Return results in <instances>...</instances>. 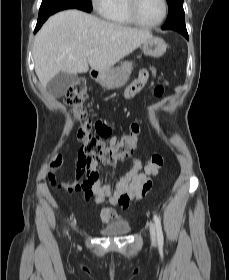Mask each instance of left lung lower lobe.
Instances as JSON below:
<instances>
[{
  "mask_svg": "<svg viewBox=\"0 0 229 280\" xmlns=\"http://www.w3.org/2000/svg\"><path fill=\"white\" fill-rule=\"evenodd\" d=\"M172 30H175V31L181 33L186 39H189L187 30H186V26L174 27Z\"/></svg>",
  "mask_w": 229,
  "mask_h": 280,
  "instance_id": "1",
  "label": "left lung lower lobe"
}]
</instances>
